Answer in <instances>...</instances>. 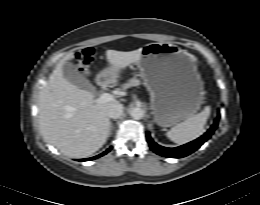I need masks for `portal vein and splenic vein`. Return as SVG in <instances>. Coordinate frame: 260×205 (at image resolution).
Returning <instances> with one entry per match:
<instances>
[{"instance_id":"obj_1","label":"portal vein and splenic vein","mask_w":260,"mask_h":205,"mask_svg":"<svg viewBox=\"0 0 260 205\" xmlns=\"http://www.w3.org/2000/svg\"><path fill=\"white\" fill-rule=\"evenodd\" d=\"M114 100V96L109 93H102L99 98L96 99V103H105Z\"/></svg>"}]
</instances>
